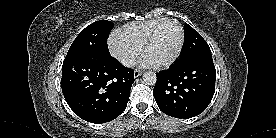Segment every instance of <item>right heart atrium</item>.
<instances>
[{"label":"right heart atrium","instance_id":"right-heart-atrium-1","mask_svg":"<svg viewBox=\"0 0 276 138\" xmlns=\"http://www.w3.org/2000/svg\"><path fill=\"white\" fill-rule=\"evenodd\" d=\"M111 54L124 66L131 67L140 55V49L114 34L108 42Z\"/></svg>","mask_w":276,"mask_h":138}]
</instances>
